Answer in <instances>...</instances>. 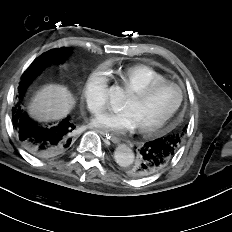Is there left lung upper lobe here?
<instances>
[{
  "label": "left lung upper lobe",
  "mask_w": 232,
  "mask_h": 232,
  "mask_svg": "<svg viewBox=\"0 0 232 232\" xmlns=\"http://www.w3.org/2000/svg\"><path fill=\"white\" fill-rule=\"evenodd\" d=\"M184 130H185V128H184ZM181 138H182L181 133H172V134H168L160 139L165 141L166 143H168L173 148V150H175V152H176L180 146ZM131 167L132 166L127 167L125 169V172L127 175L133 177V175L130 173Z\"/></svg>",
  "instance_id": "1"
}]
</instances>
